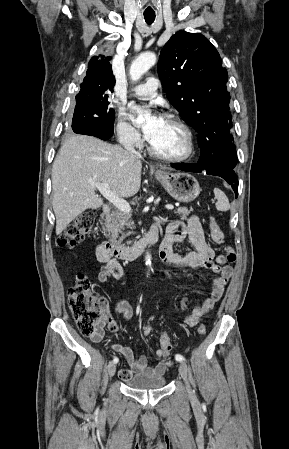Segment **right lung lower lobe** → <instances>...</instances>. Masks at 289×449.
I'll return each mask as SVG.
<instances>
[{
  "label": "right lung lower lobe",
  "instance_id": "1",
  "mask_svg": "<svg viewBox=\"0 0 289 449\" xmlns=\"http://www.w3.org/2000/svg\"><path fill=\"white\" fill-rule=\"evenodd\" d=\"M76 133L95 136V137H98V138H100L102 140L109 139L112 136V134H113V133H106L104 131L95 129L92 126H89V125H81V128L78 129L76 131Z\"/></svg>",
  "mask_w": 289,
  "mask_h": 449
}]
</instances>
